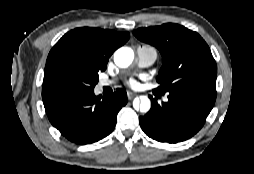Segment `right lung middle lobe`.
<instances>
[{
    "instance_id": "obj_1",
    "label": "right lung middle lobe",
    "mask_w": 254,
    "mask_h": 174,
    "mask_svg": "<svg viewBox=\"0 0 254 174\" xmlns=\"http://www.w3.org/2000/svg\"><path fill=\"white\" fill-rule=\"evenodd\" d=\"M98 83V71L68 59L55 62L44 71L42 99L47 100L68 93L93 91Z\"/></svg>"
}]
</instances>
